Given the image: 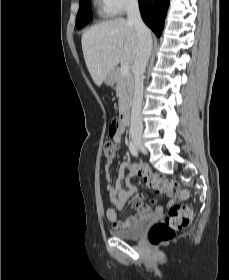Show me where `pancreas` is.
<instances>
[{
	"instance_id": "pancreas-1",
	"label": "pancreas",
	"mask_w": 229,
	"mask_h": 280,
	"mask_svg": "<svg viewBox=\"0 0 229 280\" xmlns=\"http://www.w3.org/2000/svg\"><path fill=\"white\" fill-rule=\"evenodd\" d=\"M116 91L119 97V112L123 113L131 102L133 94V80L130 75H122L116 71Z\"/></svg>"
}]
</instances>
